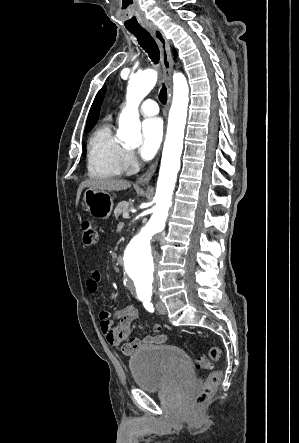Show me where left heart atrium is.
I'll list each match as a JSON object with an SVG mask.
<instances>
[{
    "mask_svg": "<svg viewBox=\"0 0 299 443\" xmlns=\"http://www.w3.org/2000/svg\"><path fill=\"white\" fill-rule=\"evenodd\" d=\"M142 139L139 146L140 156L148 160L156 153L163 134V123L160 118H148L142 123Z\"/></svg>",
    "mask_w": 299,
    "mask_h": 443,
    "instance_id": "39dd6f15",
    "label": "left heart atrium"
}]
</instances>
